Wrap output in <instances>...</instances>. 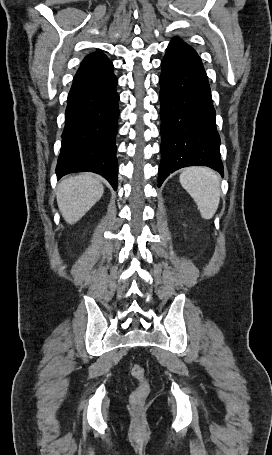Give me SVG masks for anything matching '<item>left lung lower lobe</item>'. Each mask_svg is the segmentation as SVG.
Returning a JSON list of instances; mask_svg holds the SVG:
<instances>
[{
	"instance_id": "0a47b994",
	"label": "left lung lower lobe",
	"mask_w": 272,
	"mask_h": 455,
	"mask_svg": "<svg viewBox=\"0 0 272 455\" xmlns=\"http://www.w3.org/2000/svg\"><path fill=\"white\" fill-rule=\"evenodd\" d=\"M161 66L158 186L170 173L193 165L211 167L223 176L216 113L201 59L164 58Z\"/></svg>"
}]
</instances>
